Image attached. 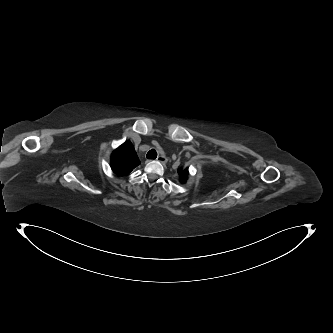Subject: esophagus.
<instances>
[{
    "label": "esophagus",
    "instance_id": "esophagus-1",
    "mask_svg": "<svg viewBox=\"0 0 333 333\" xmlns=\"http://www.w3.org/2000/svg\"><path fill=\"white\" fill-rule=\"evenodd\" d=\"M156 160L158 162H161V163H166L167 162V158L165 156H163V155L158 156Z\"/></svg>",
    "mask_w": 333,
    "mask_h": 333
}]
</instances>
